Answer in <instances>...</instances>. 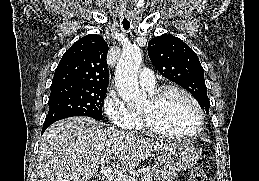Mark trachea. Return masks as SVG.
<instances>
[{
    "instance_id": "3493384b",
    "label": "trachea",
    "mask_w": 259,
    "mask_h": 181,
    "mask_svg": "<svg viewBox=\"0 0 259 181\" xmlns=\"http://www.w3.org/2000/svg\"><path fill=\"white\" fill-rule=\"evenodd\" d=\"M123 28L128 30L130 28V23L128 21H123Z\"/></svg>"
}]
</instances>
